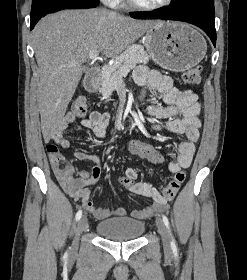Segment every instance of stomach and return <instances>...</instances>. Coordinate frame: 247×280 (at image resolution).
I'll list each match as a JSON object with an SVG mask.
<instances>
[{"label":"stomach","mask_w":247,"mask_h":280,"mask_svg":"<svg viewBox=\"0 0 247 280\" xmlns=\"http://www.w3.org/2000/svg\"><path fill=\"white\" fill-rule=\"evenodd\" d=\"M145 47L160 67L183 72L197 65L205 56L204 37L188 24L159 21L145 36Z\"/></svg>","instance_id":"stomach-1"}]
</instances>
